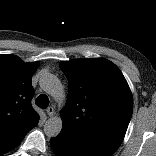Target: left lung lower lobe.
I'll return each mask as SVG.
<instances>
[{"label":"left lung lower lobe","mask_w":156,"mask_h":156,"mask_svg":"<svg viewBox=\"0 0 156 156\" xmlns=\"http://www.w3.org/2000/svg\"><path fill=\"white\" fill-rule=\"evenodd\" d=\"M50 143L57 156H111L114 153L104 146L74 137L64 131L51 138Z\"/></svg>","instance_id":"left-lung-lower-lobe-1"}]
</instances>
